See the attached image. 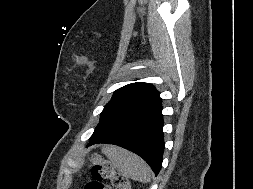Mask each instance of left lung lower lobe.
<instances>
[{
	"label": "left lung lower lobe",
	"mask_w": 253,
	"mask_h": 189,
	"mask_svg": "<svg viewBox=\"0 0 253 189\" xmlns=\"http://www.w3.org/2000/svg\"><path fill=\"white\" fill-rule=\"evenodd\" d=\"M161 102L133 117L115 129L91 137L88 146L97 143L116 144L142 157L157 176L162 167L164 151Z\"/></svg>",
	"instance_id": "obj_1"
}]
</instances>
